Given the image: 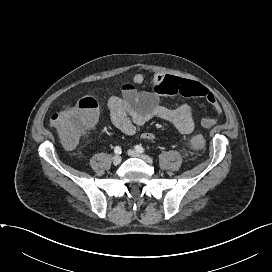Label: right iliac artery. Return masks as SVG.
Here are the masks:
<instances>
[{
	"instance_id": "obj_1",
	"label": "right iliac artery",
	"mask_w": 272,
	"mask_h": 272,
	"mask_svg": "<svg viewBox=\"0 0 272 272\" xmlns=\"http://www.w3.org/2000/svg\"><path fill=\"white\" fill-rule=\"evenodd\" d=\"M114 152H115L117 155L121 154V153H122L121 147L116 146V147L114 148Z\"/></svg>"
}]
</instances>
